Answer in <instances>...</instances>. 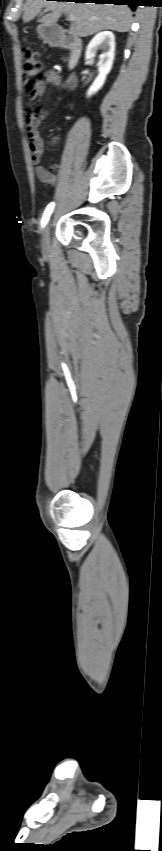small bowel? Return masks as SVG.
Here are the masks:
<instances>
[{
	"instance_id": "small-bowel-1",
	"label": "small bowel",
	"mask_w": 162,
	"mask_h": 851,
	"mask_svg": "<svg viewBox=\"0 0 162 851\" xmlns=\"http://www.w3.org/2000/svg\"><path fill=\"white\" fill-rule=\"evenodd\" d=\"M77 78V73L75 71H71L68 73L62 85L61 79L57 77V74L52 70L48 71L45 75L46 82H40L32 93L33 101L36 104H39L40 99L42 98L46 90V83H51L54 86H58L57 89L61 93L64 92L66 89L69 94H74L77 91ZM45 117L46 113L42 110H34L33 112L29 113L26 119V130L30 140V149L32 151L31 160L35 166L36 176L40 181L53 185L58 182L61 169L59 166L54 165L50 170H48L41 165V160L44 153V143L40 136L38 127L41 121L45 119ZM59 141V136H53L50 140V144L52 146H56Z\"/></svg>"
}]
</instances>
